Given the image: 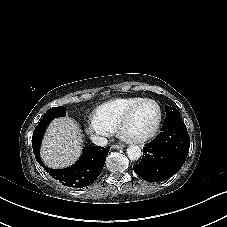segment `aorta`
<instances>
[{
  "label": "aorta",
  "mask_w": 227,
  "mask_h": 227,
  "mask_svg": "<svg viewBox=\"0 0 227 227\" xmlns=\"http://www.w3.org/2000/svg\"><path fill=\"white\" fill-rule=\"evenodd\" d=\"M141 154H142L141 149L137 145H130L127 148V156L132 161H136V160L140 159Z\"/></svg>",
  "instance_id": "762f6f07"
}]
</instances>
